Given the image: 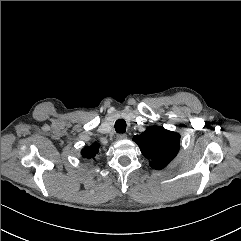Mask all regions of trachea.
I'll list each match as a JSON object with an SVG mask.
<instances>
[{
    "label": "trachea",
    "mask_w": 241,
    "mask_h": 241,
    "mask_svg": "<svg viewBox=\"0 0 241 241\" xmlns=\"http://www.w3.org/2000/svg\"><path fill=\"white\" fill-rule=\"evenodd\" d=\"M115 130L117 133H125L126 131V122L123 119H119L115 122Z\"/></svg>",
    "instance_id": "3493384b"
}]
</instances>
